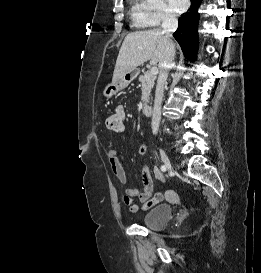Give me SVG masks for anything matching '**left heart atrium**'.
<instances>
[{
  "mask_svg": "<svg viewBox=\"0 0 261 273\" xmlns=\"http://www.w3.org/2000/svg\"><path fill=\"white\" fill-rule=\"evenodd\" d=\"M169 2L177 11L184 10L188 5V0H169Z\"/></svg>",
  "mask_w": 261,
  "mask_h": 273,
  "instance_id": "1",
  "label": "left heart atrium"
}]
</instances>
